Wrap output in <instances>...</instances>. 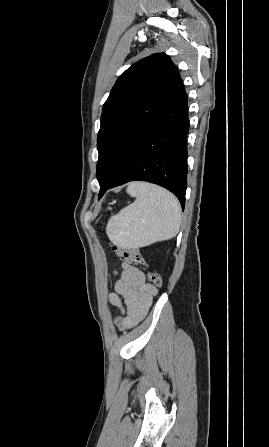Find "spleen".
<instances>
[{"mask_svg":"<svg viewBox=\"0 0 269 447\" xmlns=\"http://www.w3.org/2000/svg\"><path fill=\"white\" fill-rule=\"evenodd\" d=\"M126 192L136 198L135 202L112 216L106 225L107 235L114 245L136 249L154 241L171 239L178 233L181 208L171 192L148 182H129Z\"/></svg>","mask_w":269,"mask_h":447,"instance_id":"3e777b00","label":"spleen"}]
</instances>
